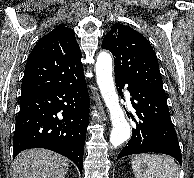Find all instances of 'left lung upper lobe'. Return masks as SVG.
Wrapping results in <instances>:
<instances>
[{"instance_id":"obj_1","label":"left lung upper lobe","mask_w":194,"mask_h":178,"mask_svg":"<svg viewBox=\"0 0 194 178\" xmlns=\"http://www.w3.org/2000/svg\"><path fill=\"white\" fill-rule=\"evenodd\" d=\"M102 47L114 55L115 79L164 91L157 56L142 34L116 23L104 37Z\"/></svg>"}]
</instances>
